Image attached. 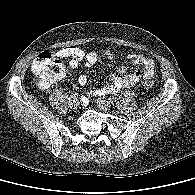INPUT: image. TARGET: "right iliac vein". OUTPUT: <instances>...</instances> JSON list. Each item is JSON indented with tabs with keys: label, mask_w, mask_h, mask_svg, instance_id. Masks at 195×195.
Instances as JSON below:
<instances>
[{
	"label": "right iliac vein",
	"mask_w": 195,
	"mask_h": 195,
	"mask_svg": "<svg viewBox=\"0 0 195 195\" xmlns=\"http://www.w3.org/2000/svg\"><path fill=\"white\" fill-rule=\"evenodd\" d=\"M71 107H73V108H77L78 106H79V101L77 100V99H73L72 101H71Z\"/></svg>",
	"instance_id": "63e3f726"
}]
</instances>
